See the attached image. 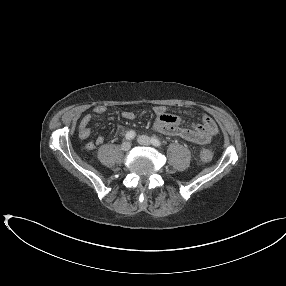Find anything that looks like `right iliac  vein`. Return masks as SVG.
<instances>
[{
  "label": "right iliac vein",
  "mask_w": 286,
  "mask_h": 286,
  "mask_svg": "<svg viewBox=\"0 0 286 286\" xmlns=\"http://www.w3.org/2000/svg\"><path fill=\"white\" fill-rule=\"evenodd\" d=\"M130 148H131V143L128 142V141L123 142L122 145H121V149L123 151H128Z\"/></svg>",
  "instance_id": "1"
}]
</instances>
